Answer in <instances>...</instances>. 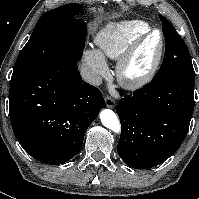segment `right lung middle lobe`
Returning <instances> with one entry per match:
<instances>
[{
	"label": "right lung middle lobe",
	"mask_w": 199,
	"mask_h": 199,
	"mask_svg": "<svg viewBox=\"0 0 199 199\" xmlns=\"http://www.w3.org/2000/svg\"><path fill=\"white\" fill-rule=\"evenodd\" d=\"M81 4H67L44 13L21 50L10 83L55 58L77 64L83 54L86 25L73 16Z\"/></svg>",
	"instance_id": "obj_1"
}]
</instances>
